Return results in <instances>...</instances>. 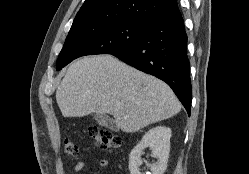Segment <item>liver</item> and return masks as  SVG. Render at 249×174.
Segmentation results:
<instances>
[{
    "mask_svg": "<svg viewBox=\"0 0 249 174\" xmlns=\"http://www.w3.org/2000/svg\"><path fill=\"white\" fill-rule=\"evenodd\" d=\"M56 100L64 117L108 113L127 133L173 117L181 110L166 83L111 55L73 62L57 88Z\"/></svg>",
    "mask_w": 249,
    "mask_h": 174,
    "instance_id": "6515ba94",
    "label": "liver"
}]
</instances>
